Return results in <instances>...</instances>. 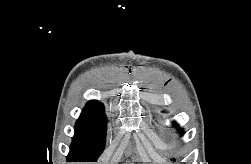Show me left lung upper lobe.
<instances>
[{
  "label": "left lung upper lobe",
  "instance_id": "1",
  "mask_svg": "<svg viewBox=\"0 0 251 164\" xmlns=\"http://www.w3.org/2000/svg\"><path fill=\"white\" fill-rule=\"evenodd\" d=\"M173 124H175L176 125V123L175 122H173ZM179 130H181L180 128H178Z\"/></svg>",
  "mask_w": 251,
  "mask_h": 164
}]
</instances>
